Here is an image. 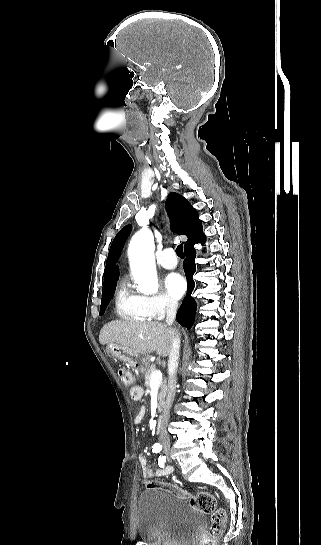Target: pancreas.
<instances>
[{
	"instance_id": "cf45deb5",
	"label": "pancreas",
	"mask_w": 321,
	"mask_h": 545,
	"mask_svg": "<svg viewBox=\"0 0 321 545\" xmlns=\"http://www.w3.org/2000/svg\"><path fill=\"white\" fill-rule=\"evenodd\" d=\"M152 371H156V365H150L149 369L145 371V385L147 389H150V381H151V375ZM166 391H167V385L166 383H162L160 387V393L158 395V411L161 413L162 407L164 405V399L166 397Z\"/></svg>"
}]
</instances>
